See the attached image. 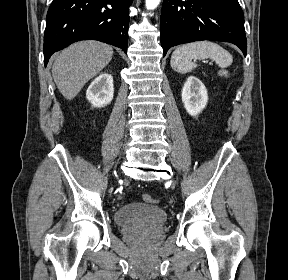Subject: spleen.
<instances>
[{"label": "spleen", "mask_w": 288, "mask_h": 280, "mask_svg": "<svg viewBox=\"0 0 288 280\" xmlns=\"http://www.w3.org/2000/svg\"><path fill=\"white\" fill-rule=\"evenodd\" d=\"M207 58L214 60L221 68H226L233 62L232 55L217 43L199 41L177 47L171 55L170 64L175 71L184 74L197 67L195 60Z\"/></svg>", "instance_id": "3e777b00"}]
</instances>
